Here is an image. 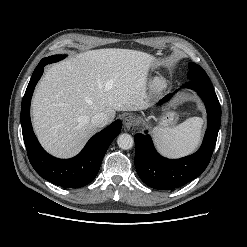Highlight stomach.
<instances>
[{
    "label": "stomach",
    "mask_w": 247,
    "mask_h": 247,
    "mask_svg": "<svg viewBox=\"0 0 247 247\" xmlns=\"http://www.w3.org/2000/svg\"><path fill=\"white\" fill-rule=\"evenodd\" d=\"M177 120V115L174 112H167L161 116L158 121L161 127L170 128Z\"/></svg>",
    "instance_id": "1"
}]
</instances>
